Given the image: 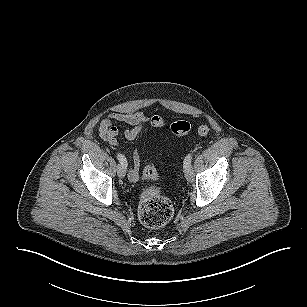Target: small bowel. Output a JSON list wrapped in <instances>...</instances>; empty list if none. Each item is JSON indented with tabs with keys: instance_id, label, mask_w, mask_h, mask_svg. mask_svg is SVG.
<instances>
[{
	"instance_id": "c3829d8e",
	"label": "small bowel",
	"mask_w": 307,
	"mask_h": 307,
	"mask_svg": "<svg viewBox=\"0 0 307 307\" xmlns=\"http://www.w3.org/2000/svg\"><path fill=\"white\" fill-rule=\"evenodd\" d=\"M149 123L154 128L165 126V120L160 115L148 116L143 112L134 113H112L105 118L99 126V135L102 140L113 147L119 145V124H125L129 127L124 129L123 135L127 140H134ZM141 156L139 150L133 152V167L128 171V179L137 181L139 178Z\"/></svg>"
}]
</instances>
